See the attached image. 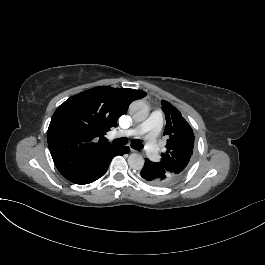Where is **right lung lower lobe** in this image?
Here are the masks:
<instances>
[{"label":"right lung lower lobe","instance_id":"98d812e1","mask_svg":"<svg viewBox=\"0 0 265 265\" xmlns=\"http://www.w3.org/2000/svg\"><path fill=\"white\" fill-rule=\"evenodd\" d=\"M129 152V148L128 147H120L117 151H115V154H113V156L107 161V163L102 167V169L98 172V174L92 178L90 181H88L87 183L85 184H88V183H91V182H94L95 180L99 179L100 177H102L108 167H109V164L112 160L113 157L117 156V155H124L125 153H128Z\"/></svg>","mask_w":265,"mask_h":265}]
</instances>
